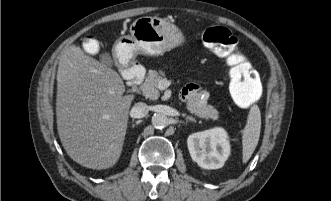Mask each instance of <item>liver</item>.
I'll list each match as a JSON object with an SVG mask.
<instances>
[{"instance_id": "obj_1", "label": "liver", "mask_w": 331, "mask_h": 201, "mask_svg": "<svg viewBox=\"0 0 331 201\" xmlns=\"http://www.w3.org/2000/svg\"><path fill=\"white\" fill-rule=\"evenodd\" d=\"M120 75L70 46L59 59L56 116L68 156L90 169L113 167L122 152L133 95Z\"/></svg>"}]
</instances>
